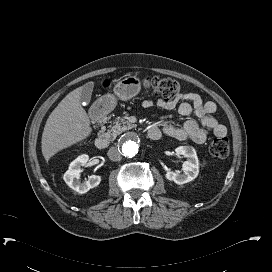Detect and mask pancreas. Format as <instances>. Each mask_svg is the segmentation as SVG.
<instances>
[{
  "mask_svg": "<svg viewBox=\"0 0 272 272\" xmlns=\"http://www.w3.org/2000/svg\"><path fill=\"white\" fill-rule=\"evenodd\" d=\"M133 127L134 125L130 124L128 121H125L123 119H117L113 123V126H111L110 130H108L107 134H109L111 138L114 140L122 132L130 130Z\"/></svg>",
  "mask_w": 272,
  "mask_h": 272,
  "instance_id": "1",
  "label": "pancreas"
}]
</instances>
